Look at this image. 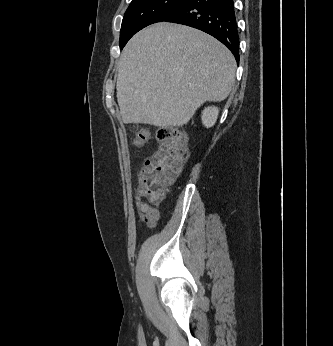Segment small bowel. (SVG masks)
Instances as JSON below:
<instances>
[{
  "mask_svg": "<svg viewBox=\"0 0 333 346\" xmlns=\"http://www.w3.org/2000/svg\"><path fill=\"white\" fill-rule=\"evenodd\" d=\"M135 206L137 208L138 216L140 220L149 228H153L157 225L160 219V212L154 206L144 202L141 196L138 194L135 198Z\"/></svg>",
  "mask_w": 333,
  "mask_h": 346,
  "instance_id": "c3829d8e",
  "label": "small bowel"
}]
</instances>
